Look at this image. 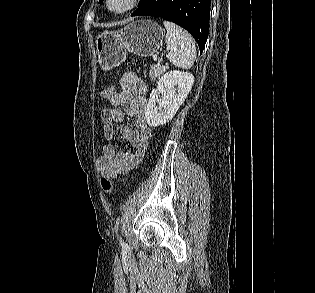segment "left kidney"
I'll return each mask as SVG.
<instances>
[{
	"label": "left kidney",
	"instance_id": "1",
	"mask_svg": "<svg viewBox=\"0 0 315 293\" xmlns=\"http://www.w3.org/2000/svg\"><path fill=\"white\" fill-rule=\"evenodd\" d=\"M193 82L194 76L187 72L174 70L163 75L156 89L151 92L146 107L148 125L158 127L169 122L187 98ZM159 94L163 95L160 101Z\"/></svg>",
	"mask_w": 315,
	"mask_h": 293
}]
</instances>
